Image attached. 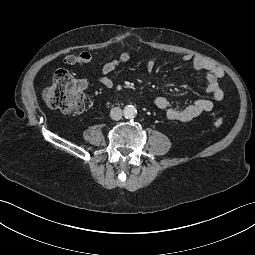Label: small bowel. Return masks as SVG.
Returning <instances> with one entry per match:
<instances>
[{
	"mask_svg": "<svg viewBox=\"0 0 255 255\" xmlns=\"http://www.w3.org/2000/svg\"><path fill=\"white\" fill-rule=\"evenodd\" d=\"M130 60V53L122 52L117 58L106 62L102 65L100 76L98 78L101 85L106 88H113L115 81L109 74L115 71L121 65ZM91 61V55L88 52H82L77 55H68L63 62L67 66L76 64H87ZM183 61L189 63L193 69L202 71L206 75V92L210 94L214 100L221 102L225 98L224 90L219 85V80L224 77V70L206 60L201 56H194L186 54L183 56ZM146 69L150 74L156 72V64L153 59H149L146 63ZM82 84H86L82 81ZM154 105L162 110L166 118L170 121L188 122L200 116L203 113L209 112L213 109L214 104L210 99L200 98L185 107H175L171 105L170 101L164 96H157L154 99Z\"/></svg>",
	"mask_w": 255,
	"mask_h": 255,
	"instance_id": "c3829d8e",
	"label": "small bowel"
}]
</instances>
